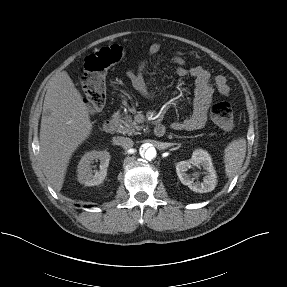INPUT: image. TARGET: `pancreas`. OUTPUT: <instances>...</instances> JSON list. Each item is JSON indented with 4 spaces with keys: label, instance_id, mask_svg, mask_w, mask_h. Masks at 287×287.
Listing matches in <instances>:
<instances>
[{
    "label": "pancreas",
    "instance_id": "1",
    "mask_svg": "<svg viewBox=\"0 0 287 287\" xmlns=\"http://www.w3.org/2000/svg\"><path fill=\"white\" fill-rule=\"evenodd\" d=\"M114 120L118 123V132L127 135L138 134L137 131L142 129V126H139L132 116L125 114L124 116L115 113L113 115Z\"/></svg>",
    "mask_w": 287,
    "mask_h": 287
}]
</instances>
